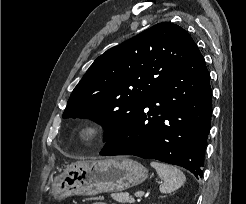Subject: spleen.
Returning <instances> with one entry per match:
<instances>
[{
  "mask_svg": "<svg viewBox=\"0 0 246 204\" xmlns=\"http://www.w3.org/2000/svg\"><path fill=\"white\" fill-rule=\"evenodd\" d=\"M150 165L163 180V183L159 187L161 193H171L180 188L186 181L184 173L173 165L158 161H151Z\"/></svg>",
  "mask_w": 246,
  "mask_h": 204,
  "instance_id": "spleen-1",
  "label": "spleen"
}]
</instances>
